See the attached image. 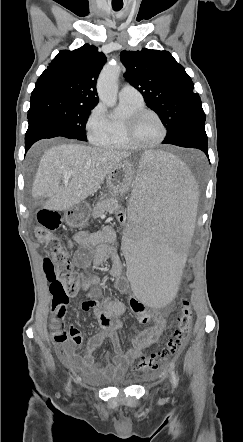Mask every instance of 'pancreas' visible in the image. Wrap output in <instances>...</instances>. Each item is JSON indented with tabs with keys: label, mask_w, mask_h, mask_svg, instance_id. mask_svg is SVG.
<instances>
[{
	"label": "pancreas",
	"mask_w": 243,
	"mask_h": 442,
	"mask_svg": "<svg viewBox=\"0 0 243 442\" xmlns=\"http://www.w3.org/2000/svg\"><path fill=\"white\" fill-rule=\"evenodd\" d=\"M121 206L118 204L117 200L114 198L101 200L96 204V206L92 210L93 218H99L104 216L107 213H114Z\"/></svg>",
	"instance_id": "1"
}]
</instances>
